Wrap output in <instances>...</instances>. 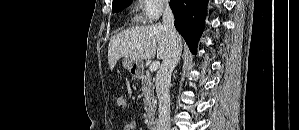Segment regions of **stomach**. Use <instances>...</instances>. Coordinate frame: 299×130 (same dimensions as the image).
<instances>
[{
	"instance_id": "1",
	"label": "stomach",
	"mask_w": 299,
	"mask_h": 130,
	"mask_svg": "<svg viewBox=\"0 0 299 130\" xmlns=\"http://www.w3.org/2000/svg\"><path fill=\"white\" fill-rule=\"evenodd\" d=\"M122 65L127 71H129L133 75H138L143 68L142 60H135L129 57H125L122 60Z\"/></svg>"
}]
</instances>
